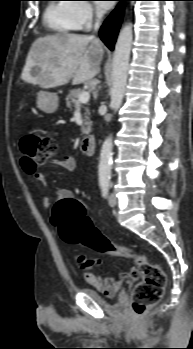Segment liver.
I'll return each instance as SVG.
<instances>
[{"mask_svg":"<svg viewBox=\"0 0 193 349\" xmlns=\"http://www.w3.org/2000/svg\"><path fill=\"white\" fill-rule=\"evenodd\" d=\"M102 43L87 35L59 33L40 37L32 44L21 79L42 88L77 85L100 72ZM36 69L37 72L33 73Z\"/></svg>","mask_w":193,"mask_h":349,"instance_id":"1","label":"liver"}]
</instances>
